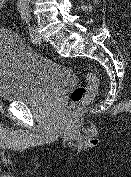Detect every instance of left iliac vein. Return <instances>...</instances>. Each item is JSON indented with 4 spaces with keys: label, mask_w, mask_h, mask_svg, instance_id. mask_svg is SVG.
Returning a JSON list of instances; mask_svg holds the SVG:
<instances>
[{
    "label": "left iliac vein",
    "mask_w": 131,
    "mask_h": 177,
    "mask_svg": "<svg viewBox=\"0 0 131 177\" xmlns=\"http://www.w3.org/2000/svg\"><path fill=\"white\" fill-rule=\"evenodd\" d=\"M34 31H35L36 38H37L36 44H40L41 41H42V38H41V36H40V34L38 33V31H37L36 28L34 29Z\"/></svg>",
    "instance_id": "obj_1"
}]
</instances>
